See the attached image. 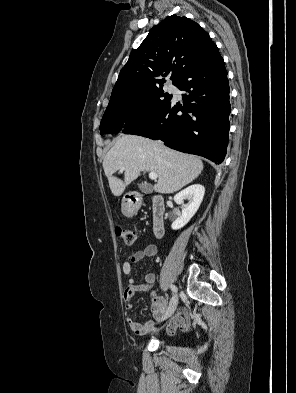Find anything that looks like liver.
Returning a JSON list of instances; mask_svg holds the SVG:
<instances>
[{
	"label": "liver",
	"mask_w": 296,
	"mask_h": 393,
	"mask_svg": "<svg viewBox=\"0 0 296 393\" xmlns=\"http://www.w3.org/2000/svg\"><path fill=\"white\" fill-rule=\"evenodd\" d=\"M124 168V181L113 174ZM103 169L114 196H120L127 185L141 172H155L158 181L153 189L157 193H174L196 179L203 170L202 161L136 135H123L108 151Z\"/></svg>",
	"instance_id": "obj_1"
}]
</instances>
